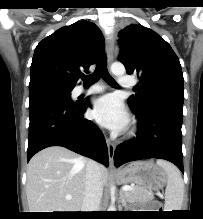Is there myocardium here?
Returning a JSON list of instances; mask_svg holds the SVG:
<instances>
[{
	"label": "myocardium",
	"instance_id": "f54148a6",
	"mask_svg": "<svg viewBox=\"0 0 203 219\" xmlns=\"http://www.w3.org/2000/svg\"><path fill=\"white\" fill-rule=\"evenodd\" d=\"M134 133H135V131H134V129H132L128 132V136L131 137L134 135Z\"/></svg>",
	"mask_w": 203,
	"mask_h": 219
}]
</instances>
